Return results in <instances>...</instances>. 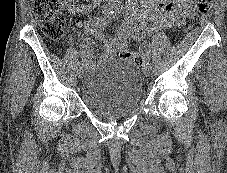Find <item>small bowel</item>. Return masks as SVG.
Listing matches in <instances>:
<instances>
[{
	"mask_svg": "<svg viewBox=\"0 0 227 173\" xmlns=\"http://www.w3.org/2000/svg\"><path fill=\"white\" fill-rule=\"evenodd\" d=\"M192 0H139L140 7L133 6L126 14L125 21L118 34L107 41L105 55L112 57L117 53L127 51V38L132 36L134 39L141 41L146 34L153 32L158 28L179 27L185 19L192 14ZM103 24L101 20H95L85 25V31L88 34L104 37L100 28ZM94 40L90 37L84 40L81 50V57L87 66L93 63L92 47ZM140 61L145 56L139 54Z\"/></svg>",
	"mask_w": 227,
	"mask_h": 173,
	"instance_id": "small-bowel-1",
	"label": "small bowel"
}]
</instances>
